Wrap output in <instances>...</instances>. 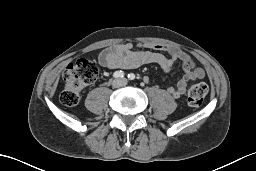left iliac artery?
I'll return each mask as SVG.
<instances>
[{"instance_id": "obj_1", "label": "left iliac artery", "mask_w": 256, "mask_h": 171, "mask_svg": "<svg viewBox=\"0 0 256 171\" xmlns=\"http://www.w3.org/2000/svg\"><path fill=\"white\" fill-rule=\"evenodd\" d=\"M128 79L129 80H134L135 79V74H133V73L128 74Z\"/></svg>"}]
</instances>
